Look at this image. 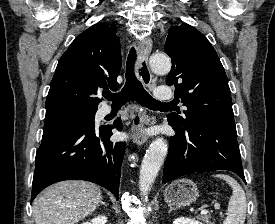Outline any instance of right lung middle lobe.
I'll return each instance as SVG.
<instances>
[{"instance_id": "dd1d6c3e", "label": "right lung middle lobe", "mask_w": 275, "mask_h": 224, "mask_svg": "<svg viewBox=\"0 0 275 224\" xmlns=\"http://www.w3.org/2000/svg\"><path fill=\"white\" fill-rule=\"evenodd\" d=\"M97 109L67 107L46 113L45 124L59 121H72L81 124L94 125Z\"/></svg>"}]
</instances>
